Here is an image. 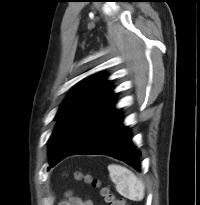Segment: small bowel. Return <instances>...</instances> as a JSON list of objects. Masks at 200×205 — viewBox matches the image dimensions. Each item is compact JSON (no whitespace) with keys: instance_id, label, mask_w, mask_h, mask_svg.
Returning a JSON list of instances; mask_svg holds the SVG:
<instances>
[{"instance_id":"c3829d8e","label":"small bowel","mask_w":200,"mask_h":205,"mask_svg":"<svg viewBox=\"0 0 200 205\" xmlns=\"http://www.w3.org/2000/svg\"><path fill=\"white\" fill-rule=\"evenodd\" d=\"M62 205H93L89 200H81L79 198H70L68 201L64 202Z\"/></svg>"}]
</instances>
